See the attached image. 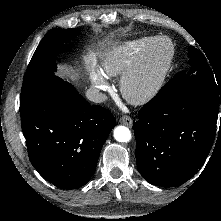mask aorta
<instances>
[{"label":"aorta","mask_w":221,"mask_h":221,"mask_svg":"<svg viewBox=\"0 0 221 221\" xmlns=\"http://www.w3.org/2000/svg\"><path fill=\"white\" fill-rule=\"evenodd\" d=\"M114 138L118 142H129L131 139V132L130 130L125 126H117L114 129Z\"/></svg>","instance_id":"obj_1"}]
</instances>
